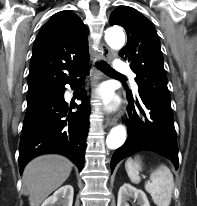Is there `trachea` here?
Segmentation results:
<instances>
[{"instance_id": "1", "label": "trachea", "mask_w": 197, "mask_h": 206, "mask_svg": "<svg viewBox=\"0 0 197 206\" xmlns=\"http://www.w3.org/2000/svg\"><path fill=\"white\" fill-rule=\"evenodd\" d=\"M98 67L101 69V71L107 75L110 76H119V77H124L122 74L118 73L115 71L109 64L106 62L102 61L101 63L98 64Z\"/></svg>"}]
</instances>
